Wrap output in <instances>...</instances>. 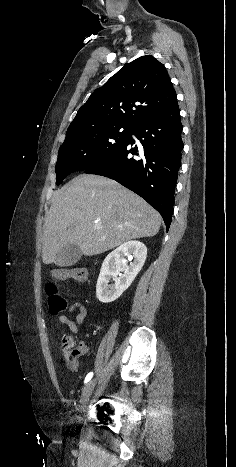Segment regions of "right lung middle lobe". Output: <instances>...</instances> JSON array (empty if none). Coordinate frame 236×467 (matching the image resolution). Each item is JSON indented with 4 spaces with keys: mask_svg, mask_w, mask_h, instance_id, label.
Listing matches in <instances>:
<instances>
[{
    "mask_svg": "<svg viewBox=\"0 0 236 467\" xmlns=\"http://www.w3.org/2000/svg\"><path fill=\"white\" fill-rule=\"evenodd\" d=\"M133 129L114 125L66 136L55 167L57 185L70 173L85 171L111 156L127 142Z\"/></svg>",
    "mask_w": 236,
    "mask_h": 467,
    "instance_id": "1",
    "label": "right lung middle lobe"
}]
</instances>
